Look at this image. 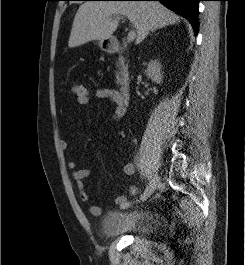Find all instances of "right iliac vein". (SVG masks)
Wrapping results in <instances>:
<instances>
[{
	"label": "right iliac vein",
	"mask_w": 245,
	"mask_h": 265,
	"mask_svg": "<svg viewBox=\"0 0 245 265\" xmlns=\"http://www.w3.org/2000/svg\"><path fill=\"white\" fill-rule=\"evenodd\" d=\"M158 183H159V177L157 174H155L152 177V184L149 190V196L156 190Z\"/></svg>",
	"instance_id": "1"
}]
</instances>
